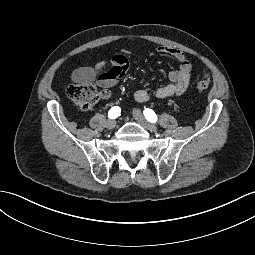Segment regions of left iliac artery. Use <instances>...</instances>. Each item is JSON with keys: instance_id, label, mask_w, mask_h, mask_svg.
I'll use <instances>...</instances> for the list:
<instances>
[{"instance_id": "obj_1", "label": "left iliac artery", "mask_w": 255, "mask_h": 255, "mask_svg": "<svg viewBox=\"0 0 255 255\" xmlns=\"http://www.w3.org/2000/svg\"><path fill=\"white\" fill-rule=\"evenodd\" d=\"M145 118L151 122V123H155L157 121V115L155 114V112L149 108L145 109L143 111Z\"/></svg>"}]
</instances>
